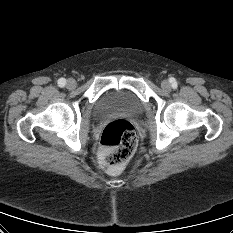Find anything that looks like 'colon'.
<instances>
[{
    "label": "colon",
    "mask_w": 233,
    "mask_h": 233,
    "mask_svg": "<svg viewBox=\"0 0 233 233\" xmlns=\"http://www.w3.org/2000/svg\"><path fill=\"white\" fill-rule=\"evenodd\" d=\"M137 143L136 130L129 121L117 119L108 123L100 138L101 166L109 171L119 169L134 154Z\"/></svg>",
    "instance_id": "1"
}]
</instances>
